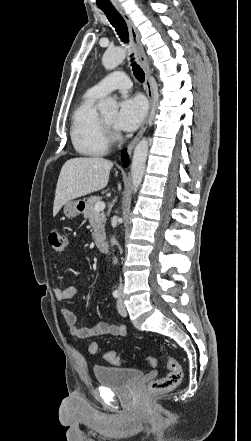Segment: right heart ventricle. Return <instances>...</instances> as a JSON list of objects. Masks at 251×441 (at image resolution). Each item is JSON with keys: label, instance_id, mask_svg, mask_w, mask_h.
Segmentation results:
<instances>
[{"label": "right heart ventricle", "instance_id": "1", "mask_svg": "<svg viewBox=\"0 0 251 441\" xmlns=\"http://www.w3.org/2000/svg\"><path fill=\"white\" fill-rule=\"evenodd\" d=\"M102 95L89 89L72 115L70 136L75 150L84 156H100L107 152L109 139L97 110Z\"/></svg>", "mask_w": 251, "mask_h": 441}]
</instances>
